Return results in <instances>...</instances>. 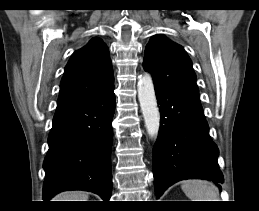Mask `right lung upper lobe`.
Segmentation results:
<instances>
[{"mask_svg":"<svg viewBox=\"0 0 259 211\" xmlns=\"http://www.w3.org/2000/svg\"><path fill=\"white\" fill-rule=\"evenodd\" d=\"M108 48L101 39L74 52L61 81L57 108L72 106L102 95L114 87Z\"/></svg>","mask_w":259,"mask_h":211,"instance_id":"cb5924a9","label":"right lung upper lobe"}]
</instances>
